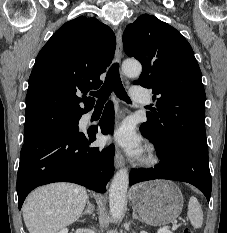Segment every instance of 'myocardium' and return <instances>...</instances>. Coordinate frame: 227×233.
<instances>
[{"label": "myocardium", "instance_id": "f54148a6", "mask_svg": "<svg viewBox=\"0 0 227 233\" xmlns=\"http://www.w3.org/2000/svg\"><path fill=\"white\" fill-rule=\"evenodd\" d=\"M158 162V156L154 150L150 149L142 158L141 163L145 166H153Z\"/></svg>", "mask_w": 227, "mask_h": 233}]
</instances>
